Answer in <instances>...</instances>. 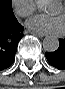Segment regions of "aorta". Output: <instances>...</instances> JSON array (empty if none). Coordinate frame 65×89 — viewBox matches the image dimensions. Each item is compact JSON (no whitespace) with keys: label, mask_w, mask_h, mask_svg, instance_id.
Here are the masks:
<instances>
[{"label":"aorta","mask_w":65,"mask_h":89,"mask_svg":"<svg viewBox=\"0 0 65 89\" xmlns=\"http://www.w3.org/2000/svg\"><path fill=\"white\" fill-rule=\"evenodd\" d=\"M50 2L48 0H37L36 7L38 10L46 11ZM59 47V40L56 36H46L43 40V48L47 52H54Z\"/></svg>","instance_id":"obj_1"}]
</instances>
